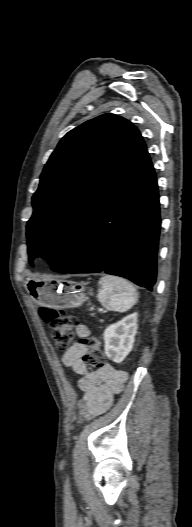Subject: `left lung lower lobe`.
<instances>
[{"label": "left lung lower lobe", "instance_id": "0a47b994", "mask_svg": "<svg viewBox=\"0 0 192 527\" xmlns=\"http://www.w3.org/2000/svg\"><path fill=\"white\" fill-rule=\"evenodd\" d=\"M160 222L157 180L145 150L109 189L51 269L104 271L151 291L156 282Z\"/></svg>", "mask_w": 192, "mask_h": 527}]
</instances>
